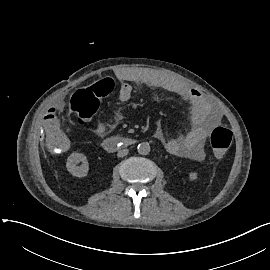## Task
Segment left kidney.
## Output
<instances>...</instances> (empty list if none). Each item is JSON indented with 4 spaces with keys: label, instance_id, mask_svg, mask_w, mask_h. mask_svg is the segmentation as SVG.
<instances>
[{
    "label": "left kidney",
    "instance_id": "obj_1",
    "mask_svg": "<svg viewBox=\"0 0 270 270\" xmlns=\"http://www.w3.org/2000/svg\"><path fill=\"white\" fill-rule=\"evenodd\" d=\"M189 178H190L191 181L197 179V173L196 172H191L189 174Z\"/></svg>",
    "mask_w": 270,
    "mask_h": 270
}]
</instances>
